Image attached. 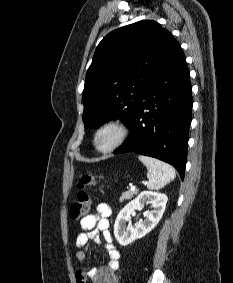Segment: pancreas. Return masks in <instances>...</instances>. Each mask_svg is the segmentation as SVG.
Segmentation results:
<instances>
[{
	"mask_svg": "<svg viewBox=\"0 0 233 283\" xmlns=\"http://www.w3.org/2000/svg\"><path fill=\"white\" fill-rule=\"evenodd\" d=\"M137 193H138L137 190H135V191L129 190V191L123 192L121 197H120V202H124L125 200L131 199Z\"/></svg>",
	"mask_w": 233,
	"mask_h": 283,
	"instance_id": "pancreas-1",
	"label": "pancreas"
}]
</instances>
